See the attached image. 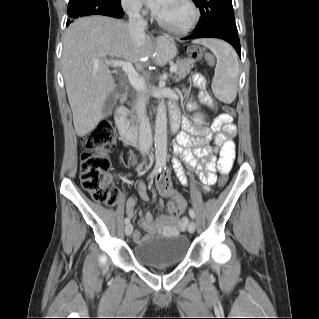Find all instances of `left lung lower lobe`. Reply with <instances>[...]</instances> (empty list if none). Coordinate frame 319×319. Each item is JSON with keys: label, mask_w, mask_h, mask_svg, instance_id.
Wrapping results in <instances>:
<instances>
[{"label": "left lung lower lobe", "mask_w": 319, "mask_h": 319, "mask_svg": "<svg viewBox=\"0 0 319 319\" xmlns=\"http://www.w3.org/2000/svg\"><path fill=\"white\" fill-rule=\"evenodd\" d=\"M219 38L227 41L230 43L235 50L237 51L238 55L241 58V48H240V40L238 37L237 31H232L224 28H208L204 30H196L195 33H193L190 36H187L185 39H195V38Z\"/></svg>", "instance_id": "1"}]
</instances>
